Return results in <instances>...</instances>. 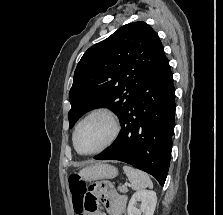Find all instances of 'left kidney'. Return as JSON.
<instances>
[{
    "mask_svg": "<svg viewBox=\"0 0 223 215\" xmlns=\"http://www.w3.org/2000/svg\"><path fill=\"white\" fill-rule=\"evenodd\" d=\"M140 201V207L136 203ZM157 203L156 191L150 189H140L133 193L128 203V215H153Z\"/></svg>",
    "mask_w": 223,
    "mask_h": 215,
    "instance_id": "1",
    "label": "left kidney"
}]
</instances>
